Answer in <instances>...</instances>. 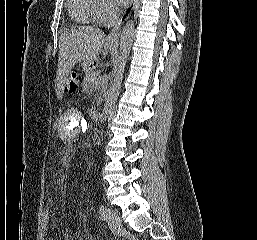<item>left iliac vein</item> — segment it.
Wrapping results in <instances>:
<instances>
[{"instance_id":"obj_1","label":"left iliac vein","mask_w":257,"mask_h":240,"mask_svg":"<svg viewBox=\"0 0 257 240\" xmlns=\"http://www.w3.org/2000/svg\"><path fill=\"white\" fill-rule=\"evenodd\" d=\"M106 221L110 228L117 231L121 228V220L116 211L111 208L106 209Z\"/></svg>"}]
</instances>
